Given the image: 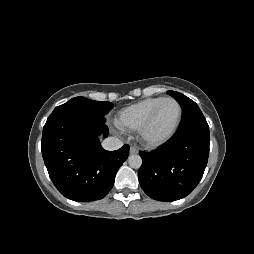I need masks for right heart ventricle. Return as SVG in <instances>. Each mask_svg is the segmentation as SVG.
I'll return each instance as SVG.
<instances>
[{
  "mask_svg": "<svg viewBox=\"0 0 254 254\" xmlns=\"http://www.w3.org/2000/svg\"><path fill=\"white\" fill-rule=\"evenodd\" d=\"M164 97H152L141 100L120 110L117 116V124L128 131H138L142 123L151 111Z\"/></svg>",
  "mask_w": 254,
  "mask_h": 254,
  "instance_id": "obj_1",
  "label": "right heart ventricle"
}]
</instances>
